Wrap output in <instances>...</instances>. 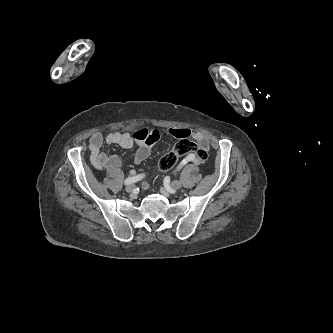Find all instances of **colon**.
Instances as JSON below:
<instances>
[{
    "label": "colon",
    "mask_w": 333,
    "mask_h": 333,
    "mask_svg": "<svg viewBox=\"0 0 333 333\" xmlns=\"http://www.w3.org/2000/svg\"><path fill=\"white\" fill-rule=\"evenodd\" d=\"M193 155L196 163L202 164L208 159V151L205 148L197 146L188 138H183L174 147V149L164 155L159 162V169L165 173L170 171L177 163L178 158L184 155Z\"/></svg>",
    "instance_id": "5ec220e1"
}]
</instances>
